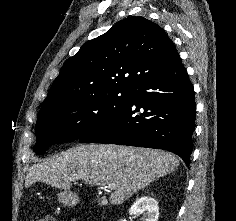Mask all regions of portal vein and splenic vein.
<instances>
[{
  "label": "portal vein and splenic vein",
  "instance_id": "1",
  "mask_svg": "<svg viewBox=\"0 0 236 221\" xmlns=\"http://www.w3.org/2000/svg\"><path fill=\"white\" fill-rule=\"evenodd\" d=\"M70 180L71 181H76V180H78V178H71ZM106 188H108L110 190H113L115 188V185L109 184V185L106 186Z\"/></svg>",
  "mask_w": 236,
  "mask_h": 221
}]
</instances>
